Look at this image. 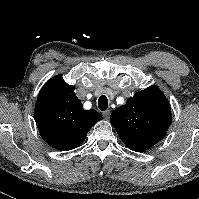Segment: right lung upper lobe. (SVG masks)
<instances>
[{
  "label": "right lung upper lobe",
  "instance_id": "right-lung-upper-lobe-1",
  "mask_svg": "<svg viewBox=\"0 0 199 199\" xmlns=\"http://www.w3.org/2000/svg\"><path fill=\"white\" fill-rule=\"evenodd\" d=\"M74 90L59 74L45 83L35 105V121L42 138L62 151L78 147L102 119L96 110L83 109Z\"/></svg>",
  "mask_w": 199,
  "mask_h": 199
}]
</instances>
